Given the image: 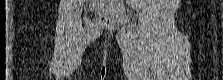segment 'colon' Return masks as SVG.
<instances>
[{
    "mask_svg": "<svg viewBox=\"0 0 223 80\" xmlns=\"http://www.w3.org/2000/svg\"><path fill=\"white\" fill-rule=\"evenodd\" d=\"M99 22L104 26H112L116 23V19L113 16L103 15L99 18Z\"/></svg>",
    "mask_w": 223,
    "mask_h": 80,
    "instance_id": "obj_1",
    "label": "colon"
}]
</instances>
